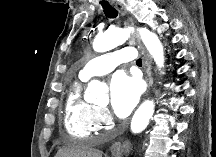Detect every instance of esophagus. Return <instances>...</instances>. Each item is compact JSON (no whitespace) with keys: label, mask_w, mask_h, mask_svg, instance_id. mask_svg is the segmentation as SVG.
<instances>
[{"label":"esophagus","mask_w":216,"mask_h":157,"mask_svg":"<svg viewBox=\"0 0 216 157\" xmlns=\"http://www.w3.org/2000/svg\"><path fill=\"white\" fill-rule=\"evenodd\" d=\"M110 3L119 11V13L122 16L126 15L127 11L121 2L117 0H111ZM144 68H145V80L148 83L151 70L149 66L148 56L145 53H144ZM120 148H121V143L115 142L111 145L110 150L115 152V151H119Z\"/></svg>","instance_id":"obj_1"}]
</instances>
